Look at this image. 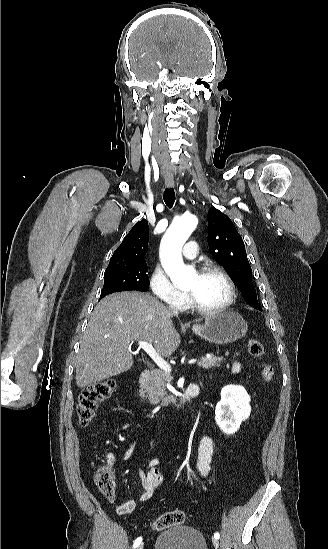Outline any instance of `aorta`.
Here are the masks:
<instances>
[{
  "mask_svg": "<svg viewBox=\"0 0 328 549\" xmlns=\"http://www.w3.org/2000/svg\"><path fill=\"white\" fill-rule=\"evenodd\" d=\"M197 224L196 216L183 215L172 222L162 240L161 257L164 269L178 287L189 284L195 276L194 269L184 264L181 252Z\"/></svg>",
  "mask_w": 328,
  "mask_h": 549,
  "instance_id": "762f6f07",
  "label": "aorta"
}]
</instances>
